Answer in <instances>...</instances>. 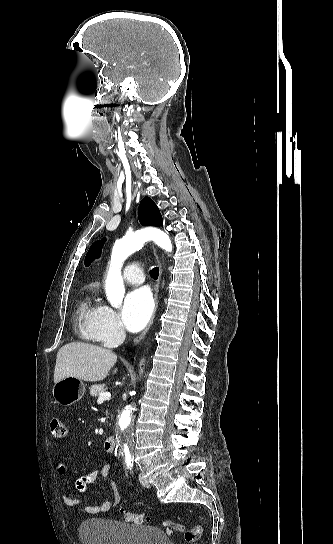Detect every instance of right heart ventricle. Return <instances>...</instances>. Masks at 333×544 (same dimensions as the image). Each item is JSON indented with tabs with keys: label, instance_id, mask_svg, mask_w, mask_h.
Instances as JSON below:
<instances>
[{
	"label": "right heart ventricle",
	"instance_id": "1",
	"mask_svg": "<svg viewBox=\"0 0 333 544\" xmlns=\"http://www.w3.org/2000/svg\"><path fill=\"white\" fill-rule=\"evenodd\" d=\"M100 306L90 301L82 303L78 311V319L82 335L90 340H97L94 332V320Z\"/></svg>",
	"mask_w": 333,
	"mask_h": 544
}]
</instances>
